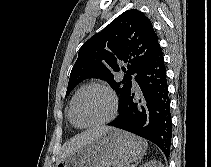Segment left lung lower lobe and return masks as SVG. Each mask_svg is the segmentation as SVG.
Masks as SVG:
<instances>
[{
	"mask_svg": "<svg viewBox=\"0 0 211 167\" xmlns=\"http://www.w3.org/2000/svg\"><path fill=\"white\" fill-rule=\"evenodd\" d=\"M139 91L130 89L119 104L120 115L109 126H114L156 144L169 157L172 123L170 99L163 52L159 47L147 65L135 76Z\"/></svg>",
	"mask_w": 211,
	"mask_h": 167,
	"instance_id": "1",
	"label": "left lung lower lobe"
}]
</instances>
